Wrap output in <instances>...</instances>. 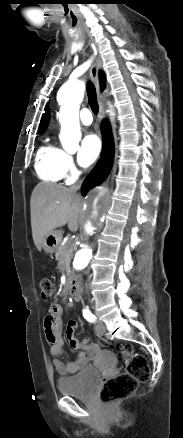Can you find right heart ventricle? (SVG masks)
<instances>
[{"mask_svg":"<svg viewBox=\"0 0 183 438\" xmlns=\"http://www.w3.org/2000/svg\"><path fill=\"white\" fill-rule=\"evenodd\" d=\"M63 156L64 152L51 144L42 146L36 159V171L39 176L50 182L61 180L65 176L62 167Z\"/></svg>","mask_w":183,"mask_h":438,"instance_id":"e07e8e85","label":"right heart ventricle"}]
</instances>
